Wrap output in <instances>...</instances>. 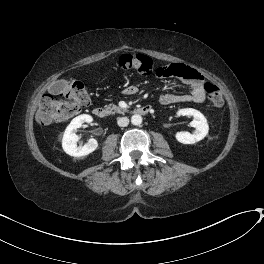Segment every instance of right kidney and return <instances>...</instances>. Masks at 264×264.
<instances>
[{"mask_svg":"<svg viewBox=\"0 0 264 264\" xmlns=\"http://www.w3.org/2000/svg\"><path fill=\"white\" fill-rule=\"evenodd\" d=\"M92 120L93 118L90 115L82 114L75 117L67 126L62 139V148L68 155L82 157L97 149L98 142L93 138L89 139L83 146H77L76 144L79 140V136L75 133L76 130L80 128L83 123H90Z\"/></svg>","mask_w":264,"mask_h":264,"instance_id":"ca27d5eb","label":"right kidney"}]
</instances>
